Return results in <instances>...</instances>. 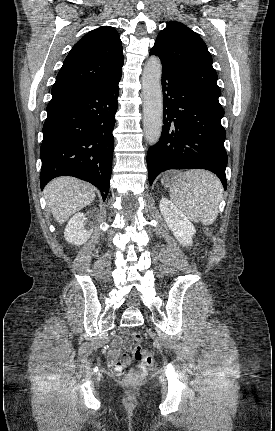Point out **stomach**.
I'll return each instance as SVG.
<instances>
[{
    "label": "stomach",
    "instance_id": "1",
    "mask_svg": "<svg viewBox=\"0 0 275 431\" xmlns=\"http://www.w3.org/2000/svg\"><path fill=\"white\" fill-rule=\"evenodd\" d=\"M162 184L164 185H168L172 182L171 176L169 174H166L163 176V178L161 179Z\"/></svg>",
    "mask_w": 275,
    "mask_h": 431
}]
</instances>
